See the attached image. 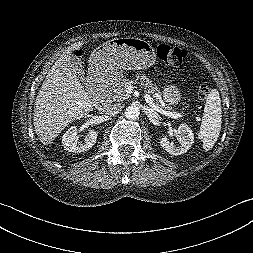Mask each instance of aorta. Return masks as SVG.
<instances>
[{"label": "aorta", "mask_w": 253, "mask_h": 253, "mask_svg": "<svg viewBox=\"0 0 253 253\" xmlns=\"http://www.w3.org/2000/svg\"><path fill=\"white\" fill-rule=\"evenodd\" d=\"M125 115L128 119H136L140 115V110L137 106L131 105L126 108Z\"/></svg>", "instance_id": "obj_1"}]
</instances>
